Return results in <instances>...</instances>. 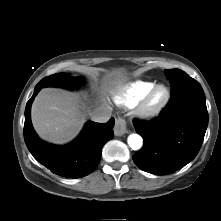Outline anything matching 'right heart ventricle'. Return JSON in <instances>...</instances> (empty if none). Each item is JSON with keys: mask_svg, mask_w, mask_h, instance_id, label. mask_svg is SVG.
<instances>
[{"mask_svg": "<svg viewBox=\"0 0 221 221\" xmlns=\"http://www.w3.org/2000/svg\"><path fill=\"white\" fill-rule=\"evenodd\" d=\"M155 86L152 81L136 80L125 86L116 96L117 104L133 107L137 105L144 96Z\"/></svg>", "mask_w": 221, "mask_h": 221, "instance_id": "obj_1", "label": "right heart ventricle"}]
</instances>
